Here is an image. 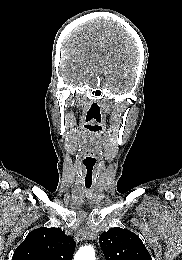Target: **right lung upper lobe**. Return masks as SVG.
I'll return each mask as SVG.
<instances>
[{
    "label": "right lung upper lobe",
    "instance_id": "1",
    "mask_svg": "<svg viewBox=\"0 0 182 260\" xmlns=\"http://www.w3.org/2000/svg\"><path fill=\"white\" fill-rule=\"evenodd\" d=\"M75 241L59 228L31 231L14 251L12 260H72Z\"/></svg>",
    "mask_w": 182,
    "mask_h": 260
}]
</instances>
